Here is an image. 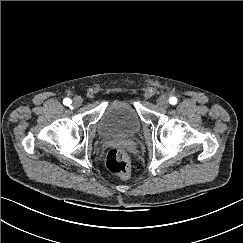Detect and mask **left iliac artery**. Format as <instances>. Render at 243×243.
Returning <instances> with one entry per match:
<instances>
[{
    "instance_id": "44dca946",
    "label": "left iliac artery",
    "mask_w": 243,
    "mask_h": 243,
    "mask_svg": "<svg viewBox=\"0 0 243 243\" xmlns=\"http://www.w3.org/2000/svg\"><path fill=\"white\" fill-rule=\"evenodd\" d=\"M170 104L175 105L177 103V98L176 97H170L169 99Z\"/></svg>"
}]
</instances>
